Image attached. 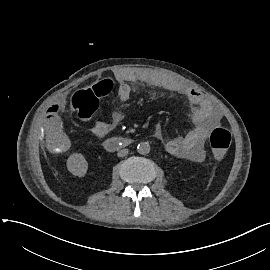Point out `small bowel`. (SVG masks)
Returning a JSON list of instances; mask_svg holds the SVG:
<instances>
[{"instance_id":"1","label":"small bowel","mask_w":270,"mask_h":270,"mask_svg":"<svg viewBox=\"0 0 270 270\" xmlns=\"http://www.w3.org/2000/svg\"><path fill=\"white\" fill-rule=\"evenodd\" d=\"M119 87L117 98L121 102H126L131 96L130 82L144 83L149 86L175 92L187 99L194 107V127L185 136L174 137L166 142V149L169 153L200 163L203 162L206 153L204 141L209 132L215 127L221 116L212 103L202 94L189 88L176 80L166 76L164 73L149 68H130L117 73ZM60 113V100L56 96H51L47 100V110L45 112V128L47 135L46 144L50 151L58 153L66 149H71L75 145V139L65 133V125L57 120ZM122 120L120 113L112 116V125H117ZM111 125L104 121H97L90 127V132L96 137H104L110 131ZM154 136L163 140L164 135L160 127H156Z\"/></svg>"}]
</instances>
